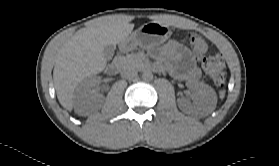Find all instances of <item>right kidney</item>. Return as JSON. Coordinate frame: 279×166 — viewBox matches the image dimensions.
Instances as JSON below:
<instances>
[{
	"mask_svg": "<svg viewBox=\"0 0 279 166\" xmlns=\"http://www.w3.org/2000/svg\"><path fill=\"white\" fill-rule=\"evenodd\" d=\"M100 79L95 78V79H90V80H85L82 85L81 89L83 91H78L76 93V100L77 103L80 104V106L83 108H88L89 104L95 101H98L101 99V96H96L93 94L91 91V88L97 84H99Z\"/></svg>",
	"mask_w": 279,
	"mask_h": 166,
	"instance_id": "1",
	"label": "right kidney"
}]
</instances>
